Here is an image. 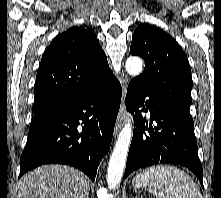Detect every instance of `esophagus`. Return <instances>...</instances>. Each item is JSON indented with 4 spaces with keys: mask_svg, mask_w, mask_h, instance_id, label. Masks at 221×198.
<instances>
[{
    "mask_svg": "<svg viewBox=\"0 0 221 198\" xmlns=\"http://www.w3.org/2000/svg\"><path fill=\"white\" fill-rule=\"evenodd\" d=\"M126 91H127V88H126V83H125L123 86L121 106H120V110H119V113H118L117 119H116V124H115V129H114V137L117 136V133L119 132L120 128L122 127L124 118L126 116V104H125Z\"/></svg>",
    "mask_w": 221,
    "mask_h": 198,
    "instance_id": "34e87169",
    "label": "esophagus"
}]
</instances>
